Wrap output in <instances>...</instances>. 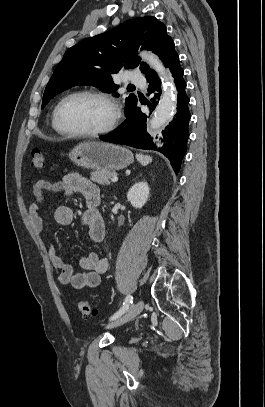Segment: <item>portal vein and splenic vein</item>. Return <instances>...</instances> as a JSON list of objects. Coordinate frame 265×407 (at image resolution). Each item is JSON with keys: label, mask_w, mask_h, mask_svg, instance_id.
<instances>
[{"label": "portal vein and splenic vein", "mask_w": 265, "mask_h": 407, "mask_svg": "<svg viewBox=\"0 0 265 407\" xmlns=\"http://www.w3.org/2000/svg\"><path fill=\"white\" fill-rule=\"evenodd\" d=\"M111 181H112V182H117V181H118L117 176H113V177L111 178Z\"/></svg>", "instance_id": "obj_1"}]
</instances>
